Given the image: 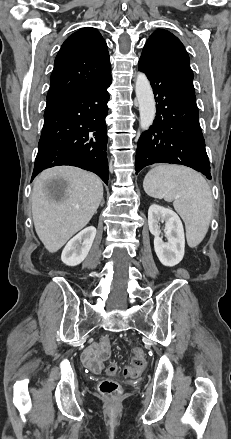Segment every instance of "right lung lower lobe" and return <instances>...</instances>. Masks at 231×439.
Instances as JSON below:
<instances>
[{"instance_id":"98d812e1","label":"right lung lower lobe","mask_w":231,"mask_h":439,"mask_svg":"<svg viewBox=\"0 0 231 439\" xmlns=\"http://www.w3.org/2000/svg\"><path fill=\"white\" fill-rule=\"evenodd\" d=\"M104 82L45 109L32 179L46 168L72 165L96 173L108 184L107 88Z\"/></svg>"}]
</instances>
